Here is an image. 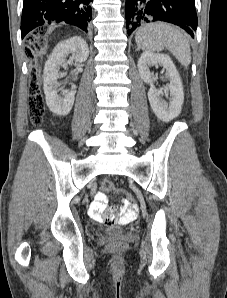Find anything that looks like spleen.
<instances>
[{"label": "spleen", "instance_id": "obj_1", "mask_svg": "<svg viewBox=\"0 0 227 298\" xmlns=\"http://www.w3.org/2000/svg\"><path fill=\"white\" fill-rule=\"evenodd\" d=\"M139 49L147 52L167 48L183 65L191 62L190 44L183 33L167 23H150L141 27L135 35Z\"/></svg>", "mask_w": 227, "mask_h": 298}]
</instances>
